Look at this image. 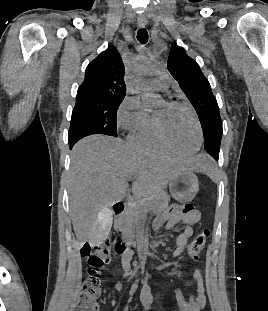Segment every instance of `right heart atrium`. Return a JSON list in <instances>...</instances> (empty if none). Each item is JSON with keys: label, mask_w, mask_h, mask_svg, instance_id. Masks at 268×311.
Listing matches in <instances>:
<instances>
[{"label": "right heart atrium", "mask_w": 268, "mask_h": 311, "mask_svg": "<svg viewBox=\"0 0 268 311\" xmlns=\"http://www.w3.org/2000/svg\"><path fill=\"white\" fill-rule=\"evenodd\" d=\"M142 102L138 97L128 96L121 103L117 113V126L122 131H133L148 118Z\"/></svg>", "instance_id": "right-heart-atrium-1"}]
</instances>
